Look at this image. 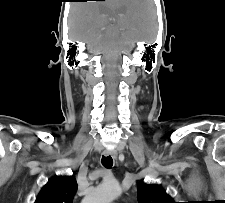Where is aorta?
<instances>
[{
	"label": "aorta",
	"instance_id": "1",
	"mask_svg": "<svg viewBox=\"0 0 225 203\" xmlns=\"http://www.w3.org/2000/svg\"><path fill=\"white\" fill-rule=\"evenodd\" d=\"M121 194V188L116 181L103 182L91 191L82 203H111Z\"/></svg>",
	"mask_w": 225,
	"mask_h": 203
}]
</instances>
